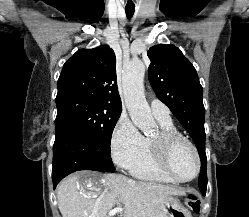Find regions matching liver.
Returning a JSON list of instances; mask_svg holds the SVG:
<instances>
[{"label":"liver","mask_w":249,"mask_h":217,"mask_svg":"<svg viewBox=\"0 0 249 217\" xmlns=\"http://www.w3.org/2000/svg\"><path fill=\"white\" fill-rule=\"evenodd\" d=\"M79 178L91 187H83ZM184 194L171 186L89 171L67 177L57 187L62 217H108L116 206H124L125 217H167L166 199Z\"/></svg>","instance_id":"1"}]
</instances>
